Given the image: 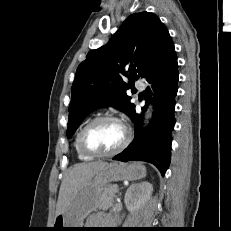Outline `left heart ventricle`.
<instances>
[{
    "instance_id": "left-heart-ventricle-1",
    "label": "left heart ventricle",
    "mask_w": 231,
    "mask_h": 231,
    "mask_svg": "<svg viewBox=\"0 0 231 231\" xmlns=\"http://www.w3.org/2000/svg\"><path fill=\"white\" fill-rule=\"evenodd\" d=\"M125 136L122 126L114 121H104L93 126L86 135L87 146L99 153L117 148Z\"/></svg>"
}]
</instances>
